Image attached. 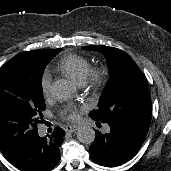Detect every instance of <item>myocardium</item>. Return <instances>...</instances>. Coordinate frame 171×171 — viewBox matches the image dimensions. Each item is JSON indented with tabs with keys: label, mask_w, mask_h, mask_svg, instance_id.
I'll list each match as a JSON object with an SVG mask.
<instances>
[{
	"label": "myocardium",
	"mask_w": 171,
	"mask_h": 171,
	"mask_svg": "<svg viewBox=\"0 0 171 171\" xmlns=\"http://www.w3.org/2000/svg\"><path fill=\"white\" fill-rule=\"evenodd\" d=\"M104 79V72L101 68L90 69L86 79V82L90 87L99 86Z\"/></svg>",
	"instance_id": "myocardium-1"
}]
</instances>
